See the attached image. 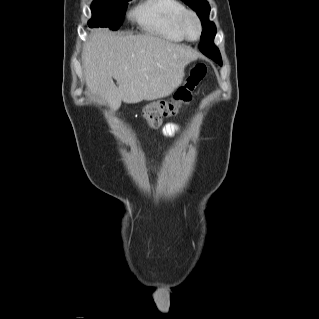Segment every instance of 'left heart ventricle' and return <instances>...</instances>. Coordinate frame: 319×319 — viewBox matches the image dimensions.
<instances>
[{
	"label": "left heart ventricle",
	"mask_w": 319,
	"mask_h": 319,
	"mask_svg": "<svg viewBox=\"0 0 319 319\" xmlns=\"http://www.w3.org/2000/svg\"><path fill=\"white\" fill-rule=\"evenodd\" d=\"M187 27H188V31H189V34L191 36H196L197 33H198V28H197V25L196 23L193 21V20H190L187 24Z\"/></svg>",
	"instance_id": "b2bd125f"
}]
</instances>
